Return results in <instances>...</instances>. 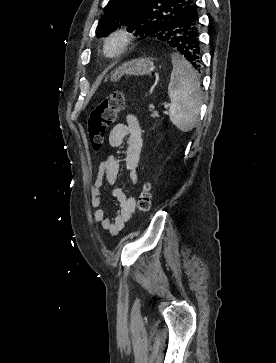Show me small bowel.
I'll list each match as a JSON object with an SVG mask.
<instances>
[{"label": "small bowel", "instance_id": "obj_1", "mask_svg": "<svg viewBox=\"0 0 276 363\" xmlns=\"http://www.w3.org/2000/svg\"><path fill=\"white\" fill-rule=\"evenodd\" d=\"M109 145L121 150L120 155H110L101 161L98 175L91 186V205L95 222L112 235H118L136 210V201L122 190L114 189L112 194L119 203L114 218L109 217L101 206V192L116 183L122 162L128 172L129 181L136 185L139 181L138 162L142 150V129L137 117L126 114L125 122L116 124L108 137Z\"/></svg>", "mask_w": 276, "mask_h": 363}]
</instances>
